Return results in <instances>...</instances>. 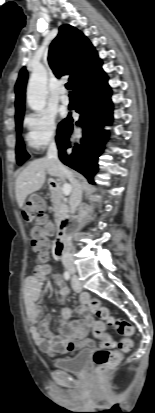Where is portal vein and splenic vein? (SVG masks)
<instances>
[{
	"label": "portal vein and splenic vein",
	"instance_id": "obj_1",
	"mask_svg": "<svg viewBox=\"0 0 155 413\" xmlns=\"http://www.w3.org/2000/svg\"><path fill=\"white\" fill-rule=\"evenodd\" d=\"M72 191V187L70 184H64L62 187V194L68 196Z\"/></svg>",
	"mask_w": 155,
	"mask_h": 413
}]
</instances>
